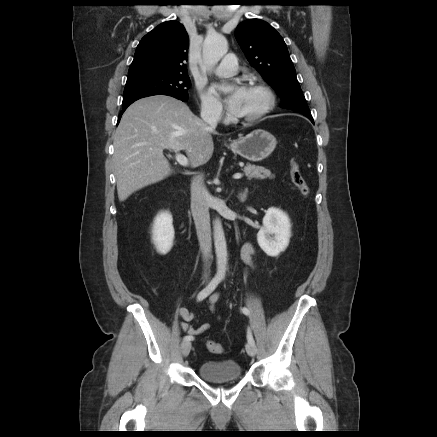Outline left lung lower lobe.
<instances>
[{"label": "left lung lower lobe", "mask_w": 437, "mask_h": 437, "mask_svg": "<svg viewBox=\"0 0 437 437\" xmlns=\"http://www.w3.org/2000/svg\"><path fill=\"white\" fill-rule=\"evenodd\" d=\"M302 114H303V113H302ZM304 115H306V116L311 120V122L314 124V121H313V118H312L311 115H307V114H304Z\"/></svg>", "instance_id": "obj_1"}]
</instances>
